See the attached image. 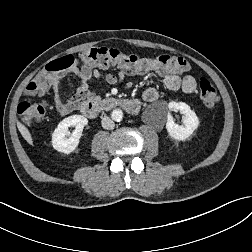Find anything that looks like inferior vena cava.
<instances>
[{
  "label": "inferior vena cava",
  "instance_id": "602c4592",
  "mask_svg": "<svg viewBox=\"0 0 252 252\" xmlns=\"http://www.w3.org/2000/svg\"><path fill=\"white\" fill-rule=\"evenodd\" d=\"M102 127L106 130H111V129H114L115 124L110 117L104 116L102 118Z\"/></svg>",
  "mask_w": 252,
  "mask_h": 252
}]
</instances>
